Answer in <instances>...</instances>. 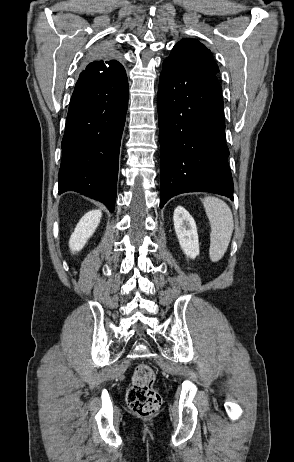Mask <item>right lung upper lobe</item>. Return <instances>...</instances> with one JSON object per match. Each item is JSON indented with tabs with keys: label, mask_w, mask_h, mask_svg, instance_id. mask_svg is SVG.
<instances>
[{
	"label": "right lung upper lobe",
	"mask_w": 294,
	"mask_h": 462,
	"mask_svg": "<svg viewBox=\"0 0 294 462\" xmlns=\"http://www.w3.org/2000/svg\"><path fill=\"white\" fill-rule=\"evenodd\" d=\"M125 73L124 67L116 60L113 50L100 52L93 56L85 70L80 73L75 88L110 82Z\"/></svg>",
	"instance_id": "obj_1"
}]
</instances>
